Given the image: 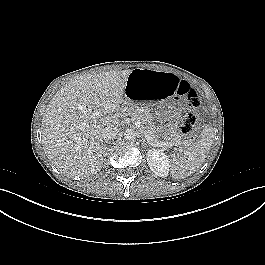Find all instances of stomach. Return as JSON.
Masks as SVG:
<instances>
[{"mask_svg":"<svg viewBox=\"0 0 265 265\" xmlns=\"http://www.w3.org/2000/svg\"><path fill=\"white\" fill-rule=\"evenodd\" d=\"M177 81L172 73L142 68L134 69L127 78L125 98L139 101L136 119L144 136L152 141H165L174 132L175 122L166 101L174 96Z\"/></svg>","mask_w":265,"mask_h":265,"instance_id":"obj_1","label":"stomach"}]
</instances>
